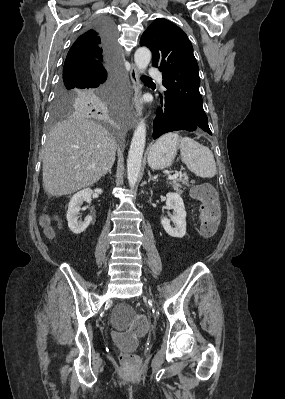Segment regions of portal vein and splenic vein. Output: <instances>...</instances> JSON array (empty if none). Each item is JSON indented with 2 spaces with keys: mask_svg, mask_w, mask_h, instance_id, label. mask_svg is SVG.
<instances>
[{
  "mask_svg": "<svg viewBox=\"0 0 285 399\" xmlns=\"http://www.w3.org/2000/svg\"><path fill=\"white\" fill-rule=\"evenodd\" d=\"M178 177H179V174H178V173H175V174H173V175L168 176V179H169V180H174V179H177Z\"/></svg>",
  "mask_w": 285,
  "mask_h": 399,
  "instance_id": "1",
  "label": "portal vein and splenic vein"
}]
</instances>
